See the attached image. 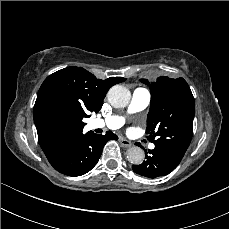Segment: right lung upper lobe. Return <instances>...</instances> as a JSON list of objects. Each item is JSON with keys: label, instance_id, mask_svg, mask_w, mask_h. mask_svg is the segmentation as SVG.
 Segmentation results:
<instances>
[{"label": "right lung upper lobe", "instance_id": "right-lung-upper-lobe-1", "mask_svg": "<svg viewBox=\"0 0 229 229\" xmlns=\"http://www.w3.org/2000/svg\"><path fill=\"white\" fill-rule=\"evenodd\" d=\"M125 81L122 77L97 79L93 74L78 67H67L49 75L41 85L33 109L39 144L48 160L73 137L82 133L85 123L60 129L51 125L46 117V108L55 99L73 104L86 118L89 112H98L107 91L115 84ZM83 117V118H84Z\"/></svg>", "mask_w": 229, "mask_h": 229}]
</instances>
